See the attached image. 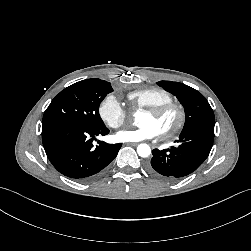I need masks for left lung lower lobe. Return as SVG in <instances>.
Returning a JSON list of instances; mask_svg holds the SVG:
<instances>
[{
    "instance_id": "obj_1",
    "label": "left lung lower lobe",
    "mask_w": 251,
    "mask_h": 251,
    "mask_svg": "<svg viewBox=\"0 0 251 251\" xmlns=\"http://www.w3.org/2000/svg\"><path fill=\"white\" fill-rule=\"evenodd\" d=\"M214 140V130L198 128L180 134L178 145L152 151L147 166L155 177L175 181L194 172L208 157Z\"/></svg>"
}]
</instances>
